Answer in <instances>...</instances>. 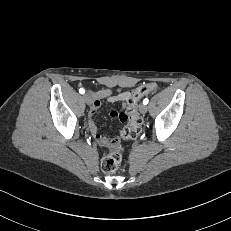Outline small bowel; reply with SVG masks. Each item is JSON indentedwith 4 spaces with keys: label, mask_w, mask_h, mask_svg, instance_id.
Listing matches in <instances>:
<instances>
[{
    "label": "small bowel",
    "mask_w": 231,
    "mask_h": 231,
    "mask_svg": "<svg viewBox=\"0 0 231 231\" xmlns=\"http://www.w3.org/2000/svg\"><path fill=\"white\" fill-rule=\"evenodd\" d=\"M90 95L93 100L92 106L89 111V121H88L90 132L92 133L93 137L95 138V140L99 145L104 147H115L119 143V138L117 137L111 138L99 133L95 116L103 101L120 102L123 105H125L131 94L128 91L115 94L112 89L105 88L99 91L91 92ZM124 111L125 110H121V111L113 110L111 111L110 115L112 118L118 119L120 122H124L120 118L121 113H123Z\"/></svg>",
    "instance_id": "small-bowel-1"
}]
</instances>
